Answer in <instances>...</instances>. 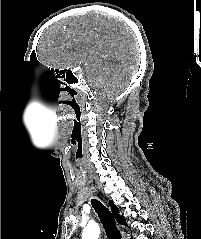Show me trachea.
Returning a JSON list of instances; mask_svg holds the SVG:
<instances>
[{"mask_svg": "<svg viewBox=\"0 0 201 239\" xmlns=\"http://www.w3.org/2000/svg\"><path fill=\"white\" fill-rule=\"evenodd\" d=\"M92 207L98 214L101 223L105 229L108 239H122V236L116 226L114 216L111 212L98 200H91Z\"/></svg>", "mask_w": 201, "mask_h": 239, "instance_id": "trachea-1", "label": "trachea"}]
</instances>
